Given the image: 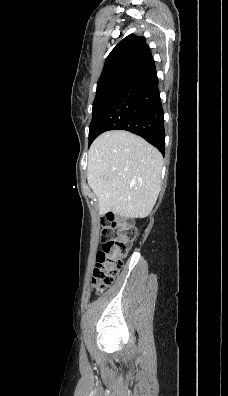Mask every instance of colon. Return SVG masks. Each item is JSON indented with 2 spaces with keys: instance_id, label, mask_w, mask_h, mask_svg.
Instances as JSON below:
<instances>
[{
  "instance_id": "obj_1",
  "label": "colon",
  "mask_w": 228,
  "mask_h": 396,
  "mask_svg": "<svg viewBox=\"0 0 228 396\" xmlns=\"http://www.w3.org/2000/svg\"><path fill=\"white\" fill-rule=\"evenodd\" d=\"M105 237L97 254V263L92 274V287L100 293L111 285L122 267V258L130 250L135 230L114 213H107L102 223Z\"/></svg>"
}]
</instances>
